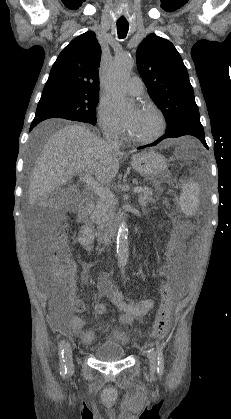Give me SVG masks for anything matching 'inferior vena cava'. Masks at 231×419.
Segmentation results:
<instances>
[{
	"label": "inferior vena cava",
	"instance_id": "602c4592",
	"mask_svg": "<svg viewBox=\"0 0 231 419\" xmlns=\"http://www.w3.org/2000/svg\"><path fill=\"white\" fill-rule=\"evenodd\" d=\"M103 136H104V141L106 143V146L109 149L115 150V151L119 150V146H120L119 137L113 129H106L103 133Z\"/></svg>",
	"mask_w": 231,
	"mask_h": 419
}]
</instances>
